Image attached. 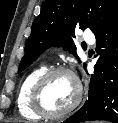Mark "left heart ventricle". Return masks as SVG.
Returning <instances> with one entry per match:
<instances>
[{
	"label": "left heart ventricle",
	"mask_w": 118,
	"mask_h": 123,
	"mask_svg": "<svg viewBox=\"0 0 118 123\" xmlns=\"http://www.w3.org/2000/svg\"><path fill=\"white\" fill-rule=\"evenodd\" d=\"M76 96L73 79L64 73L54 75L43 91V103L51 111H61L68 107Z\"/></svg>",
	"instance_id": "b2bd125f"
}]
</instances>
